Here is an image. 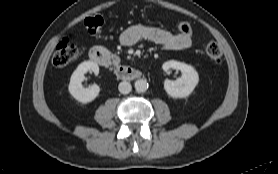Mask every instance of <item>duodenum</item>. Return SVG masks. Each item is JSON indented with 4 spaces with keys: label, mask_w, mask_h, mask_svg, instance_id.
<instances>
[{
    "label": "duodenum",
    "mask_w": 278,
    "mask_h": 174,
    "mask_svg": "<svg viewBox=\"0 0 278 174\" xmlns=\"http://www.w3.org/2000/svg\"><path fill=\"white\" fill-rule=\"evenodd\" d=\"M89 56L90 59L98 65L107 67L111 64V57L109 53L102 47H92L90 49ZM115 73L117 77L123 80L137 79L140 78L142 75L140 70L125 65L116 66Z\"/></svg>",
    "instance_id": "410a0bca"
}]
</instances>
